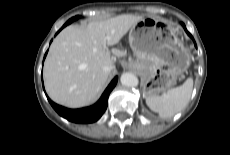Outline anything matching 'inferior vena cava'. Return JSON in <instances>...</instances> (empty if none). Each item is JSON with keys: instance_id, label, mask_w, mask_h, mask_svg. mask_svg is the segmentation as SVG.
<instances>
[{"instance_id": "1", "label": "inferior vena cava", "mask_w": 230, "mask_h": 155, "mask_svg": "<svg viewBox=\"0 0 230 155\" xmlns=\"http://www.w3.org/2000/svg\"><path fill=\"white\" fill-rule=\"evenodd\" d=\"M113 69H114V65L112 62L108 63L103 67V70L108 73H110Z\"/></svg>"}]
</instances>
